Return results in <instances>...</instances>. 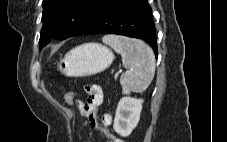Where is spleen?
Instances as JSON below:
<instances>
[{
  "label": "spleen",
  "mask_w": 227,
  "mask_h": 142,
  "mask_svg": "<svg viewBox=\"0 0 227 142\" xmlns=\"http://www.w3.org/2000/svg\"><path fill=\"white\" fill-rule=\"evenodd\" d=\"M102 41L121 54L123 67L127 69L120 77L122 93L146 90L155 74L153 50L141 40L118 35H106Z\"/></svg>",
  "instance_id": "obj_1"
}]
</instances>
